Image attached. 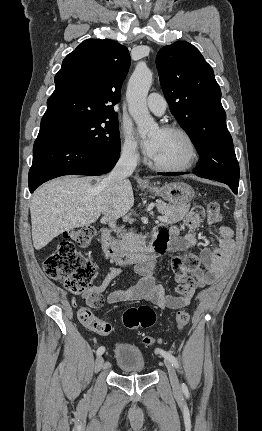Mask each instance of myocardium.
Returning a JSON list of instances; mask_svg holds the SVG:
<instances>
[{
  "instance_id": "f54148a6",
  "label": "myocardium",
  "mask_w": 262,
  "mask_h": 431,
  "mask_svg": "<svg viewBox=\"0 0 262 431\" xmlns=\"http://www.w3.org/2000/svg\"><path fill=\"white\" fill-rule=\"evenodd\" d=\"M161 129L163 131L172 132L180 135L188 145V154L185 160L180 164L165 165L150 159L149 165L152 168L163 172H182L190 169L194 165L198 155V148L191 134L183 127L174 124L164 125Z\"/></svg>"
}]
</instances>
